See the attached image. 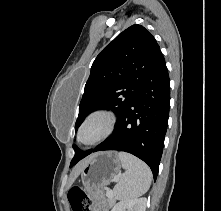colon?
I'll return each mask as SVG.
<instances>
[{"instance_id":"colon-1","label":"colon","mask_w":221,"mask_h":211,"mask_svg":"<svg viewBox=\"0 0 221 211\" xmlns=\"http://www.w3.org/2000/svg\"><path fill=\"white\" fill-rule=\"evenodd\" d=\"M68 200L73 211H90L91 201L79 186L69 190Z\"/></svg>"}]
</instances>
